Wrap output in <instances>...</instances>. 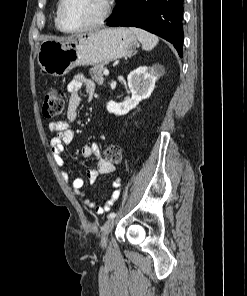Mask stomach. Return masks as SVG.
Segmentation results:
<instances>
[{
	"label": "stomach",
	"mask_w": 247,
	"mask_h": 296,
	"mask_svg": "<svg viewBox=\"0 0 247 296\" xmlns=\"http://www.w3.org/2000/svg\"><path fill=\"white\" fill-rule=\"evenodd\" d=\"M138 45L136 35L129 29L106 28L64 40H44L37 60L47 74L60 77L77 66H94L130 56Z\"/></svg>",
	"instance_id": "1"
}]
</instances>
